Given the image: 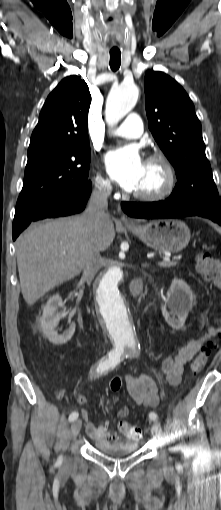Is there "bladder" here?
Wrapping results in <instances>:
<instances>
[{
  "label": "bladder",
  "mask_w": 221,
  "mask_h": 510,
  "mask_svg": "<svg viewBox=\"0 0 221 510\" xmlns=\"http://www.w3.org/2000/svg\"><path fill=\"white\" fill-rule=\"evenodd\" d=\"M97 450L109 457L120 458L138 450V443L134 440L121 442H95Z\"/></svg>",
  "instance_id": "31cf9c89"
}]
</instances>
